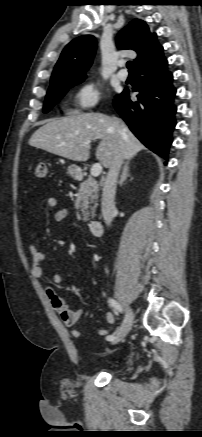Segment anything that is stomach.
I'll list each match as a JSON object with an SVG mask.
<instances>
[{
    "instance_id": "1",
    "label": "stomach",
    "mask_w": 202,
    "mask_h": 437,
    "mask_svg": "<svg viewBox=\"0 0 202 437\" xmlns=\"http://www.w3.org/2000/svg\"><path fill=\"white\" fill-rule=\"evenodd\" d=\"M67 174L71 177H77L80 174V168L76 165H70L67 169Z\"/></svg>"
}]
</instances>
